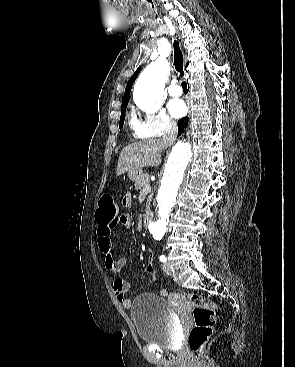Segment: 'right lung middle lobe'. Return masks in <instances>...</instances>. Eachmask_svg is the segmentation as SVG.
<instances>
[{
  "label": "right lung middle lobe",
  "mask_w": 295,
  "mask_h": 367,
  "mask_svg": "<svg viewBox=\"0 0 295 367\" xmlns=\"http://www.w3.org/2000/svg\"><path fill=\"white\" fill-rule=\"evenodd\" d=\"M128 104L122 105V110H121V117H120V122H119V128L123 127V123H124V116H125V112H126V107Z\"/></svg>",
  "instance_id": "dd1d6c3e"
}]
</instances>
